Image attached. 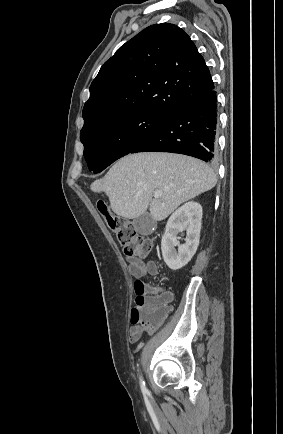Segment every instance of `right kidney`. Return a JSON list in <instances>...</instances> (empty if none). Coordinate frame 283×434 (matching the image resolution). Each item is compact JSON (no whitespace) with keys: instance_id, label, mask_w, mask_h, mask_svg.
Instances as JSON below:
<instances>
[{"instance_id":"1","label":"right kidney","mask_w":283,"mask_h":434,"mask_svg":"<svg viewBox=\"0 0 283 434\" xmlns=\"http://www.w3.org/2000/svg\"><path fill=\"white\" fill-rule=\"evenodd\" d=\"M201 220L202 207L193 201L185 203L170 216L161 241L163 259L170 269H181L195 254L199 245ZM184 231L185 243L179 244L178 234Z\"/></svg>"}]
</instances>
